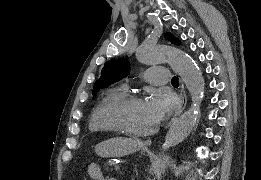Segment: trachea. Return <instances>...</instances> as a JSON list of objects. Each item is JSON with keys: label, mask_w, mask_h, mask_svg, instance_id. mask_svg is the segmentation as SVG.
Masks as SVG:
<instances>
[{"label": "trachea", "mask_w": 261, "mask_h": 180, "mask_svg": "<svg viewBox=\"0 0 261 180\" xmlns=\"http://www.w3.org/2000/svg\"><path fill=\"white\" fill-rule=\"evenodd\" d=\"M172 84H178V77H173L171 80Z\"/></svg>", "instance_id": "obj_1"}]
</instances>
